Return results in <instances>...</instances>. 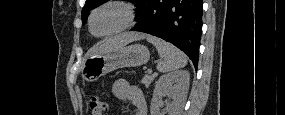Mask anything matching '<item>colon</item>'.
I'll use <instances>...</instances> for the list:
<instances>
[{
	"mask_svg": "<svg viewBox=\"0 0 285 115\" xmlns=\"http://www.w3.org/2000/svg\"><path fill=\"white\" fill-rule=\"evenodd\" d=\"M88 110L91 115H103L106 112V103L101 98L93 96L88 102Z\"/></svg>",
	"mask_w": 285,
	"mask_h": 115,
	"instance_id": "colon-1",
	"label": "colon"
}]
</instances>
